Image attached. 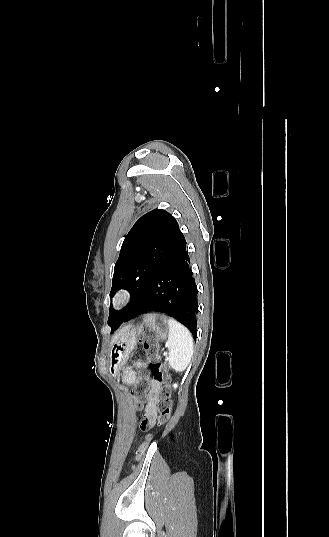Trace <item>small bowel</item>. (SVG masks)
Here are the masks:
<instances>
[{
    "label": "small bowel",
    "instance_id": "1",
    "mask_svg": "<svg viewBox=\"0 0 329 537\" xmlns=\"http://www.w3.org/2000/svg\"><path fill=\"white\" fill-rule=\"evenodd\" d=\"M136 368H143L145 367V364L143 363H136ZM137 378V372L134 367H127L123 374V380L125 383L131 384L133 383ZM150 392H149V400L145 408V416L146 420L150 422L151 424L155 421L157 416V393L160 386V382L156 379H150Z\"/></svg>",
    "mask_w": 329,
    "mask_h": 537
}]
</instances>
